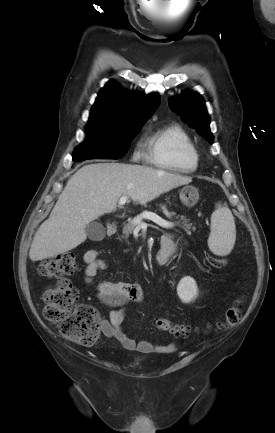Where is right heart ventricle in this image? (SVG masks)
Wrapping results in <instances>:
<instances>
[{
    "instance_id": "right-heart-ventricle-1",
    "label": "right heart ventricle",
    "mask_w": 275,
    "mask_h": 433,
    "mask_svg": "<svg viewBox=\"0 0 275 433\" xmlns=\"http://www.w3.org/2000/svg\"><path fill=\"white\" fill-rule=\"evenodd\" d=\"M146 158L159 168L180 173L194 172L199 162L191 137L178 124L159 127L149 135Z\"/></svg>"
}]
</instances>
